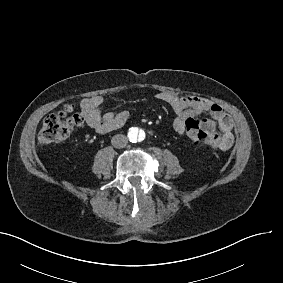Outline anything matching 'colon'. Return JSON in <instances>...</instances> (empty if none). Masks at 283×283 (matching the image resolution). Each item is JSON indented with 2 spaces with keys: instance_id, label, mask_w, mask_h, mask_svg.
Returning a JSON list of instances; mask_svg holds the SVG:
<instances>
[{
  "instance_id": "colon-1",
  "label": "colon",
  "mask_w": 283,
  "mask_h": 283,
  "mask_svg": "<svg viewBox=\"0 0 283 283\" xmlns=\"http://www.w3.org/2000/svg\"><path fill=\"white\" fill-rule=\"evenodd\" d=\"M83 123L81 114L75 108L65 107L60 112L45 118L38 135V144L48 145L65 141L71 136L72 131L83 126ZM186 134L191 137L195 147L200 146L201 141L207 136L203 128L200 127L199 121L195 120L193 116L186 118Z\"/></svg>"
}]
</instances>
